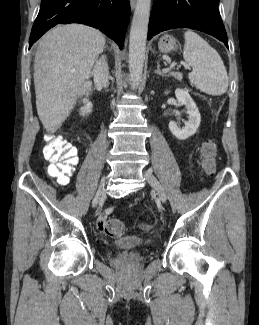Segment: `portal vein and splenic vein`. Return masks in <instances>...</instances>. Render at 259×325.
<instances>
[{"label": "portal vein and splenic vein", "instance_id": "1", "mask_svg": "<svg viewBox=\"0 0 259 325\" xmlns=\"http://www.w3.org/2000/svg\"><path fill=\"white\" fill-rule=\"evenodd\" d=\"M184 67H185V68H188L189 66H188L187 64H184Z\"/></svg>", "mask_w": 259, "mask_h": 325}]
</instances>
